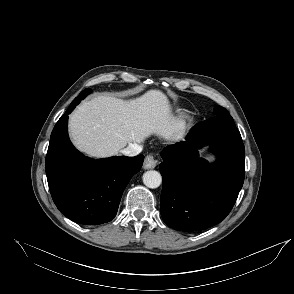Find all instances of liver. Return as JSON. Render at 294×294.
Listing matches in <instances>:
<instances>
[{
  "instance_id": "liver-1",
  "label": "liver",
  "mask_w": 294,
  "mask_h": 294,
  "mask_svg": "<svg viewBox=\"0 0 294 294\" xmlns=\"http://www.w3.org/2000/svg\"><path fill=\"white\" fill-rule=\"evenodd\" d=\"M69 132L77 149L104 158L151 135L179 140L184 135V121L172 115L163 92L150 90L131 100L101 95L83 102L70 116Z\"/></svg>"
}]
</instances>
